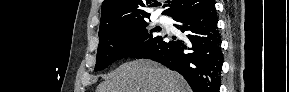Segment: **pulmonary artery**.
Wrapping results in <instances>:
<instances>
[{
    "mask_svg": "<svg viewBox=\"0 0 289 92\" xmlns=\"http://www.w3.org/2000/svg\"><path fill=\"white\" fill-rule=\"evenodd\" d=\"M160 22H164V18L163 17H160Z\"/></svg>",
    "mask_w": 289,
    "mask_h": 92,
    "instance_id": "e3ab8cb5",
    "label": "pulmonary artery"
}]
</instances>
